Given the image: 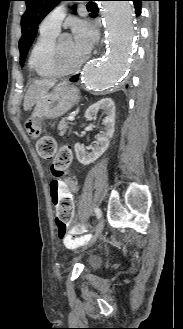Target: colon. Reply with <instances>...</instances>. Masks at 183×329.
Listing matches in <instances>:
<instances>
[{
    "label": "colon",
    "mask_w": 183,
    "mask_h": 329,
    "mask_svg": "<svg viewBox=\"0 0 183 329\" xmlns=\"http://www.w3.org/2000/svg\"><path fill=\"white\" fill-rule=\"evenodd\" d=\"M36 147L40 157L53 160L51 172L56 178L60 177L71 163L72 155L70 149L67 146H64L57 150L56 140L50 135L40 137L37 141ZM72 219L73 218H55L58 236L62 241L70 236L69 224ZM84 229L88 230L89 226L85 225ZM81 230V226L77 225L73 228L72 232L79 233Z\"/></svg>",
    "instance_id": "1"
}]
</instances>
